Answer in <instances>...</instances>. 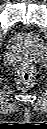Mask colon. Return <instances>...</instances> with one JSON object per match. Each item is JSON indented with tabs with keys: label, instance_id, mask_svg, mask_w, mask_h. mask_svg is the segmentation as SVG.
<instances>
[{
	"label": "colon",
	"instance_id": "obj_1",
	"mask_svg": "<svg viewBox=\"0 0 47 129\" xmlns=\"http://www.w3.org/2000/svg\"><path fill=\"white\" fill-rule=\"evenodd\" d=\"M36 69L31 63H23L18 71L17 85L21 89L30 87L35 80Z\"/></svg>",
	"mask_w": 47,
	"mask_h": 129
}]
</instances>
